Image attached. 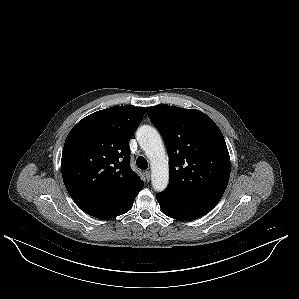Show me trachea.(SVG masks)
<instances>
[{
    "mask_svg": "<svg viewBox=\"0 0 299 299\" xmlns=\"http://www.w3.org/2000/svg\"><path fill=\"white\" fill-rule=\"evenodd\" d=\"M136 164H137V167L140 168V169H142V170H145L148 167L147 160L144 157H142V156H140V157L137 158Z\"/></svg>",
    "mask_w": 299,
    "mask_h": 299,
    "instance_id": "trachea-1",
    "label": "trachea"
}]
</instances>
